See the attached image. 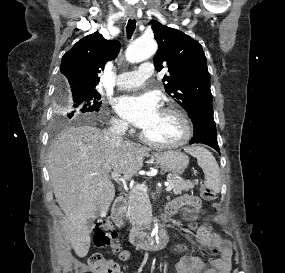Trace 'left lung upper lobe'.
<instances>
[{
	"instance_id": "left-lung-upper-lobe-1",
	"label": "left lung upper lobe",
	"mask_w": 285,
	"mask_h": 273,
	"mask_svg": "<svg viewBox=\"0 0 285 273\" xmlns=\"http://www.w3.org/2000/svg\"><path fill=\"white\" fill-rule=\"evenodd\" d=\"M158 51L154 65L158 71L168 67L170 75L162 81L165 91L188 112L213 110L207 59L199 42L183 32L151 20Z\"/></svg>"
}]
</instances>
